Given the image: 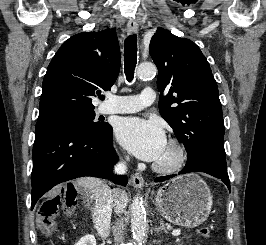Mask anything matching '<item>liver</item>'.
<instances>
[{
    "label": "liver",
    "mask_w": 266,
    "mask_h": 245,
    "mask_svg": "<svg viewBox=\"0 0 266 245\" xmlns=\"http://www.w3.org/2000/svg\"><path fill=\"white\" fill-rule=\"evenodd\" d=\"M76 183L79 187H84V191H87L90 201H93L97 191H101L103 187H106L105 181L94 179V177H82V179H77ZM112 193L114 213L116 215H123L128 203L127 193L122 191V189H113Z\"/></svg>",
    "instance_id": "1"
}]
</instances>
